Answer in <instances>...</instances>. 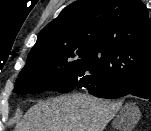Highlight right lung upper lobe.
I'll return each mask as SVG.
<instances>
[{
  "instance_id": "1",
  "label": "right lung upper lobe",
  "mask_w": 151,
  "mask_h": 131,
  "mask_svg": "<svg viewBox=\"0 0 151 131\" xmlns=\"http://www.w3.org/2000/svg\"><path fill=\"white\" fill-rule=\"evenodd\" d=\"M73 43L107 80L151 78V21L141 0H78L44 27L34 47Z\"/></svg>"
}]
</instances>
